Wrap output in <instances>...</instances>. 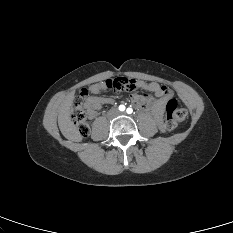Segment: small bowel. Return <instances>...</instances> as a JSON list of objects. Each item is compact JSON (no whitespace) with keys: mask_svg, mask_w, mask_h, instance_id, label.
<instances>
[{"mask_svg":"<svg viewBox=\"0 0 233 233\" xmlns=\"http://www.w3.org/2000/svg\"><path fill=\"white\" fill-rule=\"evenodd\" d=\"M104 89H107L105 87V82L94 84L90 88L93 96L88 108L89 118H94L101 108H103L105 105L113 103V100L109 97L97 96ZM134 89H140L143 92H132L130 94V101L132 105L136 108L149 112L154 117L156 123L161 127L167 101L173 97L172 91L168 87L160 85L156 82H145L141 80L136 81V86ZM145 91L152 92L154 96L145 93Z\"/></svg>","mask_w":233,"mask_h":233,"instance_id":"small-bowel-1","label":"small bowel"}]
</instances>
